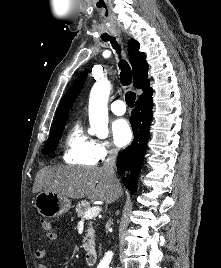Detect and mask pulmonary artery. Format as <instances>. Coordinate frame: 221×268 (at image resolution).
Instances as JSON below:
<instances>
[{
	"label": "pulmonary artery",
	"instance_id": "1",
	"mask_svg": "<svg viewBox=\"0 0 221 268\" xmlns=\"http://www.w3.org/2000/svg\"><path fill=\"white\" fill-rule=\"evenodd\" d=\"M110 109L111 111L115 114V115H123L126 112V105L124 103V101L122 100H116L114 102L111 103L110 105Z\"/></svg>",
	"mask_w": 221,
	"mask_h": 268
}]
</instances>
